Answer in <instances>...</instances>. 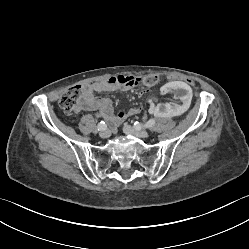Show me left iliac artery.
<instances>
[{
    "mask_svg": "<svg viewBox=\"0 0 249 249\" xmlns=\"http://www.w3.org/2000/svg\"><path fill=\"white\" fill-rule=\"evenodd\" d=\"M154 124H155V120H154V119H150L149 121H147V122L145 123L144 127H146V128H151V127L154 126ZM134 128H135L136 130H139V129L141 128V124H140L139 122H135V123H134Z\"/></svg>",
    "mask_w": 249,
    "mask_h": 249,
    "instance_id": "44dca946",
    "label": "left iliac artery"
}]
</instances>
